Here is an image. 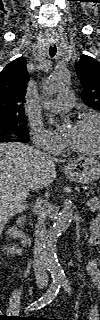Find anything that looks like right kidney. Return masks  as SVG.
<instances>
[{"instance_id":"ca27d5eb","label":"right kidney","mask_w":100,"mask_h":320,"mask_svg":"<svg viewBox=\"0 0 100 320\" xmlns=\"http://www.w3.org/2000/svg\"><path fill=\"white\" fill-rule=\"evenodd\" d=\"M6 234L10 237V238H14L16 239L18 236H20L22 234V231L18 230L16 227H11L8 229V231L6 232ZM14 250V249H9Z\"/></svg>"}]
</instances>
